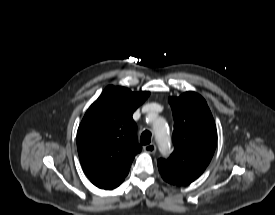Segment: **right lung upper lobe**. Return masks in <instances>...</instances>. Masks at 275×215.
Wrapping results in <instances>:
<instances>
[{
  "label": "right lung upper lobe",
  "instance_id": "right-lung-upper-lobe-1",
  "mask_svg": "<svg viewBox=\"0 0 275 215\" xmlns=\"http://www.w3.org/2000/svg\"><path fill=\"white\" fill-rule=\"evenodd\" d=\"M149 95L108 86L82 119L77 132L78 154L83 170L98 188L119 186L141 151L132 114Z\"/></svg>",
  "mask_w": 275,
  "mask_h": 215
}]
</instances>
